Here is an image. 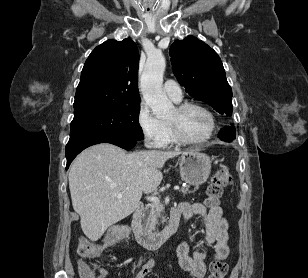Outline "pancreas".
<instances>
[{
    "instance_id": "1",
    "label": "pancreas",
    "mask_w": 308,
    "mask_h": 278,
    "mask_svg": "<svg viewBox=\"0 0 308 278\" xmlns=\"http://www.w3.org/2000/svg\"><path fill=\"white\" fill-rule=\"evenodd\" d=\"M181 192L185 195L191 193L188 187L182 188ZM164 206L159 201L153 202L146 206L145 211L142 214L141 222L145 231L152 232L156 230V226L159 225V220L165 221L163 217Z\"/></svg>"
}]
</instances>
